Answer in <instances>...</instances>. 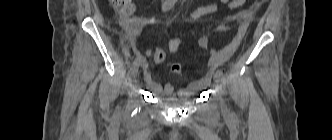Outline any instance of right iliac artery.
Wrapping results in <instances>:
<instances>
[{"label":"right iliac artery","instance_id":"obj_1","mask_svg":"<svg viewBox=\"0 0 332 140\" xmlns=\"http://www.w3.org/2000/svg\"><path fill=\"white\" fill-rule=\"evenodd\" d=\"M176 2L177 0H165V2L162 5V11L166 12L170 10L175 5ZM141 61H143V56L138 55L133 64L135 65L137 63H140Z\"/></svg>","mask_w":332,"mask_h":140}]
</instances>
